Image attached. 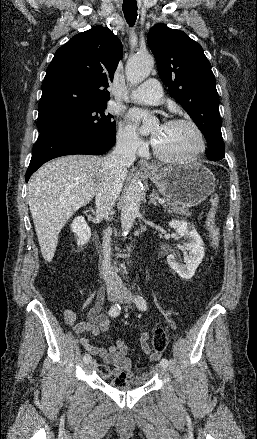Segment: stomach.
Here are the masks:
<instances>
[{
	"instance_id": "0dacf381",
	"label": "stomach",
	"mask_w": 257,
	"mask_h": 439,
	"mask_svg": "<svg viewBox=\"0 0 257 439\" xmlns=\"http://www.w3.org/2000/svg\"><path fill=\"white\" fill-rule=\"evenodd\" d=\"M160 193L184 207H194L215 190V176L204 165L190 163L147 172Z\"/></svg>"
}]
</instances>
